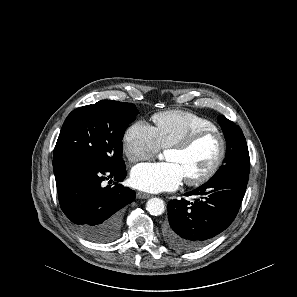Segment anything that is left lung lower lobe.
Listing matches in <instances>:
<instances>
[{
  "mask_svg": "<svg viewBox=\"0 0 297 297\" xmlns=\"http://www.w3.org/2000/svg\"><path fill=\"white\" fill-rule=\"evenodd\" d=\"M248 177L211 178L199 188L185 193L196 200H171L168 223L163 234L171 247L194 251L209 243L235 219L243 200Z\"/></svg>",
  "mask_w": 297,
  "mask_h": 297,
  "instance_id": "0a47b994",
  "label": "left lung lower lobe"
}]
</instances>
